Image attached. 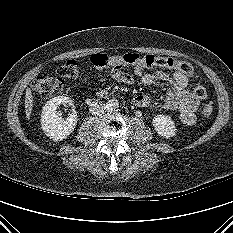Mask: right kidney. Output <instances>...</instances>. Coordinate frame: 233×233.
<instances>
[{
    "mask_svg": "<svg viewBox=\"0 0 233 233\" xmlns=\"http://www.w3.org/2000/svg\"><path fill=\"white\" fill-rule=\"evenodd\" d=\"M61 104L73 105L68 97L58 96L47 101L42 109V129L54 141L62 140L69 136L74 131L78 120L74 110L66 119L59 116L56 110Z\"/></svg>",
    "mask_w": 233,
    "mask_h": 233,
    "instance_id": "ca27d5eb",
    "label": "right kidney"
}]
</instances>
